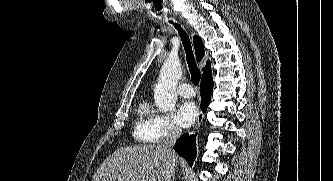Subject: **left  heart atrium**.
I'll list each match as a JSON object with an SVG mask.
<instances>
[{
  "label": "left heart atrium",
  "mask_w": 333,
  "mask_h": 181,
  "mask_svg": "<svg viewBox=\"0 0 333 181\" xmlns=\"http://www.w3.org/2000/svg\"><path fill=\"white\" fill-rule=\"evenodd\" d=\"M198 117V108L193 101L181 102L175 111V120L181 127L191 126Z\"/></svg>",
  "instance_id": "39dd6f15"
}]
</instances>
